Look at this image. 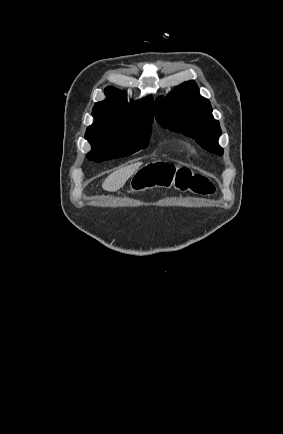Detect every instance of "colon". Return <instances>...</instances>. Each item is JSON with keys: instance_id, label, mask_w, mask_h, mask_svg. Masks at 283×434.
I'll use <instances>...</instances> for the list:
<instances>
[{"instance_id": "1", "label": "colon", "mask_w": 283, "mask_h": 434, "mask_svg": "<svg viewBox=\"0 0 283 434\" xmlns=\"http://www.w3.org/2000/svg\"><path fill=\"white\" fill-rule=\"evenodd\" d=\"M155 187H174L200 195H211L215 192V186L207 175L164 162L143 166L133 179L132 188L135 191H145Z\"/></svg>"}]
</instances>
